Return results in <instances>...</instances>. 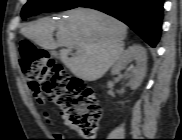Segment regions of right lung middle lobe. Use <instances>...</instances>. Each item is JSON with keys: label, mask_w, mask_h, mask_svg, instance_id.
<instances>
[{"label": "right lung middle lobe", "mask_w": 182, "mask_h": 140, "mask_svg": "<svg viewBox=\"0 0 182 140\" xmlns=\"http://www.w3.org/2000/svg\"><path fill=\"white\" fill-rule=\"evenodd\" d=\"M86 0H28L24 5L21 16L26 18L42 12L69 10L79 7Z\"/></svg>", "instance_id": "right-lung-middle-lobe-1"}]
</instances>
